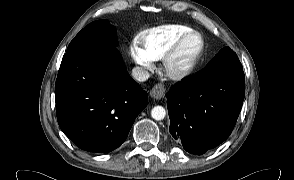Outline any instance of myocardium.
<instances>
[{"label":"myocardium","instance_id":"1","mask_svg":"<svg viewBox=\"0 0 294 180\" xmlns=\"http://www.w3.org/2000/svg\"><path fill=\"white\" fill-rule=\"evenodd\" d=\"M198 37L200 41V46L195 55L191 58L189 63L179 69L172 68V62L178 55L182 46L191 38ZM205 50V41L202 34L198 31H191L181 37L177 42H175L171 48L164 54L161 58L160 71L168 79L173 81H182L188 78L194 71L196 65L201 59Z\"/></svg>","mask_w":294,"mask_h":180}]
</instances>
